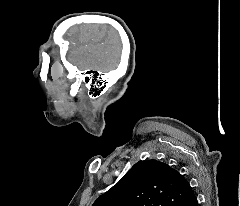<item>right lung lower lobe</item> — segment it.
I'll list each match as a JSON object with an SVG mask.
<instances>
[{
  "instance_id": "right-lung-lower-lobe-1",
  "label": "right lung lower lobe",
  "mask_w": 240,
  "mask_h": 206,
  "mask_svg": "<svg viewBox=\"0 0 240 206\" xmlns=\"http://www.w3.org/2000/svg\"><path fill=\"white\" fill-rule=\"evenodd\" d=\"M181 206H198V202H197L196 196H194L192 199H190L189 201L185 202Z\"/></svg>"
}]
</instances>
